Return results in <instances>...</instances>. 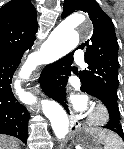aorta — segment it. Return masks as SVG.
<instances>
[{
    "mask_svg": "<svg viewBox=\"0 0 124 149\" xmlns=\"http://www.w3.org/2000/svg\"><path fill=\"white\" fill-rule=\"evenodd\" d=\"M83 14H73L63 20L49 35L43 45V50L31 56L27 69L35 66L37 59L42 58L45 52L63 55L72 51L79 43L77 28L85 23ZM43 112L50 120L52 129L58 139L64 138L69 131V119L65 110L55 101H46Z\"/></svg>",
    "mask_w": 124,
    "mask_h": 149,
    "instance_id": "obj_1",
    "label": "aorta"
}]
</instances>
